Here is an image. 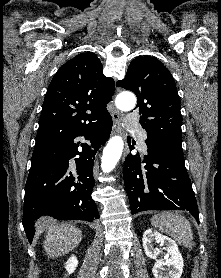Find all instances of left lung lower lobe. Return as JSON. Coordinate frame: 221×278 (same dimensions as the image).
I'll use <instances>...</instances> for the list:
<instances>
[{
  "label": "left lung lower lobe",
  "instance_id": "obj_1",
  "mask_svg": "<svg viewBox=\"0 0 221 278\" xmlns=\"http://www.w3.org/2000/svg\"><path fill=\"white\" fill-rule=\"evenodd\" d=\"M179 140H146L148 155L130 154L124 162V184L131 213L146 210H186L199 223V211ZM133 149V146H130Z\"/></svg>",
  "mask_w": 221,
  "mask_h": 278
}]
</instances>
